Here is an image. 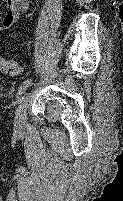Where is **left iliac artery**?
<instances>
[{"label": "left iliac artery", "instance_id": "1", "mask_svg": "<svg viewBox=\"0 0 123 201\" xmlns=\"http://www.w3.org/2000/svg\"><path fill=\"white\" fill-rule=\"evenodd\" d=\"M32 79L29 78L27 80H25L19 87L18 92H17V100L21 101V99L23 98L24 93L26 92L27 88L29 87V85L31 84Z\"/></svg>", "mask_w": 123, "mask_h": 201}]
</instances>
